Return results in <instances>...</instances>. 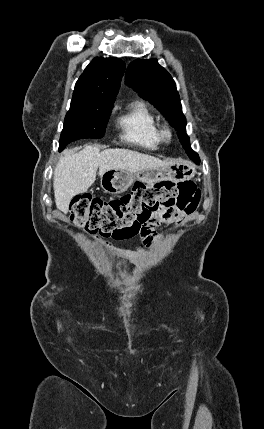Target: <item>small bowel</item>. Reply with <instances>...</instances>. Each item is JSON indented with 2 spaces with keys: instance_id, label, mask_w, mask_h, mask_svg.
I'll list each match as a JSON object with an SVG mask.
<instances>
[{
  "instance_id": "1",
  "label": "small bowel",
  "mask_w": 264,
  "mask_h": 429,
  "mask_svg": "<svg viewBox=\"0 0 264 429\" xmlns=\"http://www.w3.org/2000/svg\"><path fill=\"white\" fill-rule=\"evenodd\" d=\"M188 215L180 212L178 210H173L167 213H162L153 216L147 223H145L141 229H140V235L144 240L145 246H137L136 252L141 255H147L146 247L151 246L157 239L158 236L155 233V228L163 223H176V224H183L187 220ZM105 246L109 249L113 250L111 248L110 244L105 243ZM115 253H117L120 256L123 257H131L132 252L125 249H116L114 250Z\"/></svg>"
}]
</instances>
